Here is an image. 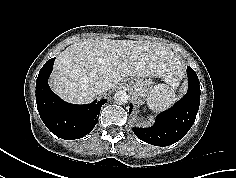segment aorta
Masks as SVG:
<instances>
[{"mask_svg":"<svg viewBox=\"0 0 236 178\" xmlns=\"http://www.w3.org/2000/svg\"><path fill=\"white\" fill-rule=\"evenodd\" d=\"M128 99H129V96L127 92L124 90L117 91L114 95V100L119 105L126 104L128 102Z\"/></svg>","mask_w":236,"mask_h":178,"instance_id":"1","label":"aorta"}]
</instances>
